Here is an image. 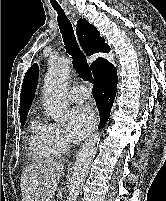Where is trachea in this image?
Listing matches in <instances>:
<instances>
[{
	"label": "trachea",
	"mask_w": 166,
	"mask_h": 201,
	"mask_svg": "<svg viewBox=\"0 0 166 201\" xmlns=\"http://www.w3.org/2000/svg\"><path fill=\"white\" fill-rule=\"evenodd\" d=\"M53 8L58 14L57 17L58 26L62 34L65 49L73 59L74 68L76 69L80 78H82L84 81L92 83L93 78L91 70L87 64V60L84 54L82 53L77 44L74 30L70 20L67 18L61 7L53 6Z\"/></svg>",
	"instance_id": "3493384b"
}]
</instances>
